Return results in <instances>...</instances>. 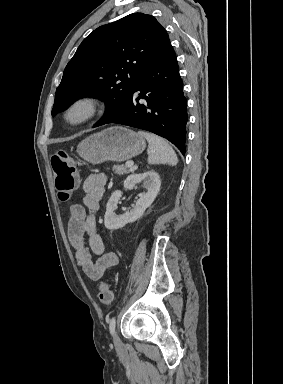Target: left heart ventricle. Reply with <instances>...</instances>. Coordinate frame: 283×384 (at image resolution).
Returning <instances> with one entry per match:
<instances>
[{
  "mask_svg": "<svg viewBox=\"0 0 283 384\" xmlns=\"http://www.w3.org/2000/svg\"><path fill=\"white\" fill-rule=\"evenodd\" d=\"M79 116H80V112H79V111L75 112V113L72 115L73 118H78Z\"/></svg>",
  "mask_w": 283,
  "mask_h": 384,
  "instance_id": "obj_1",
  "label": "left heart ventricle"
}]
</instances>
